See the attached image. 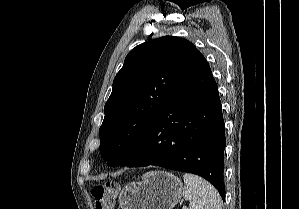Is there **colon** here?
Wrapping results in <instances>:
<instances>
[{
	"label": "colon",
	"mask_w": 299,
	"mask_h": 209,
	"mask_svg": "<svg viewBox=\"0 0 299 209\" xmlns=\"http://www.w3.org/2000/svg\"><path fill=\"white\" fill-rule=\"evenodd\" d=\"M120 186L114 182L99 183L92 189L96 209H113Z\"/></svg>",
	"instance_id": "colon-1"
}]
</instances>
